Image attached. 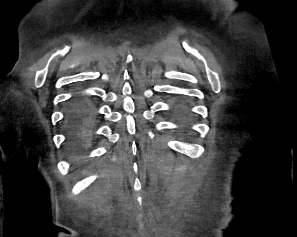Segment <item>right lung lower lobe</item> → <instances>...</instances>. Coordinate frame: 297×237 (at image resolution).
Here are the masks:
<instances>
[{
	"instance_id": "1",
	"label": "right lung lower lobe",
	"mask_w": 297,
	"mask_h": 237,
	"mask_svg": "<svg viewBox=\"0 0 297 237\" xmlns=\"http://www.w3.org/2000/svg\"><path fill=\"white\" fill-rule=\"evenodd\" d=\"M91 110L86 105L75 103L69 110L67 119L70 125H72L71 136L69 142L74 147H79L85 137V133L79 129V123L89 119Z\"/></svg>"
}]
</instances>
